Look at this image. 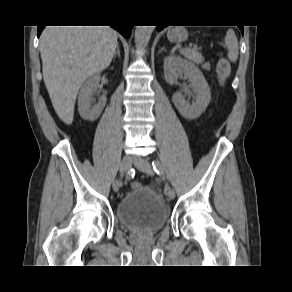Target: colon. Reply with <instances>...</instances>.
I'll return each mask as SVG.
<instances>
[{"mask_svg":"<svg viewBox=\"0 0 292 292\" xmlns=\"http://www.w3.org/2000/svg\"><path fill=\"white\" fill-rule=\"evenodd\" d=\"M217 73L218 78L221 83H224L226 79L230 76L231 73V67L229 62L224 58L220 57L218 64H217ZM141 186V184L137 181H134L131 183V187L133 189H137Z\"/></svg>","mask_w":292,"mask_h":292,"instance_id":"obj_1","label":"colon"}]
</instances>
